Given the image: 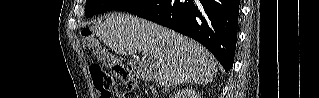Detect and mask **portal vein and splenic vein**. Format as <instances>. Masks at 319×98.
Returning a JSON list of instances; mask_svg holds the SVG:
<instances>
[{
  "instance_id": "portal-vein-and-splenic-vein-1",
  "label": "portal vein and splenic vein",
  "mask_w": 319,
  "mask_h": 98,
  "mask_svg": "<svg viewBox=\"0 0 319 98\" xmlns=\"http://www.w3.org/2000/svg\"><path fill=\"white\" fill-rule=\"evenodd\" d=\"M148 54H149L148 51L143 50V55H144V56H148Z\"/></svg>"
}]
</instances>
